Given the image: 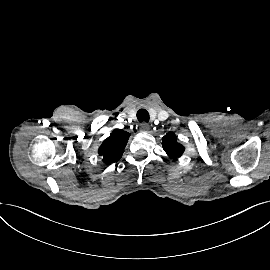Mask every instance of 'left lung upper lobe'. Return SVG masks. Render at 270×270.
<instances>
[{"mask_svg": "<svg viewBox=\"0 0 270 270\" xmlns=\"http://www.w3.org/2000/svg\"><path fill=\"white\" fill-rule=\"evenodd\" d=\"M162 145L167 155L172 159L180 157L185 150L184 146L177 142L176 135L172 132L162 138Z\"/></svg>", "mask_w": 270, "mask_h": 270, "instance_id": "1", "label": "left lung upper lobe"}]
</instances>
